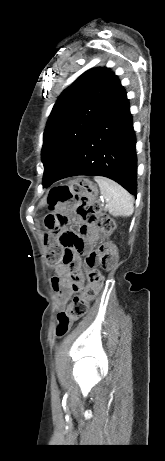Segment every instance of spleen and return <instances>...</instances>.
<instances>
[{"label":"spleen","instance_id":"3e777b00","mask_svg":"<svg viewBox=\"0 0 165 461\" xmlns=\"http://www.w3.org/2000/svg\"><path fill=\"white\" fill-rule=\"evenodd\" d=\"M94 180L98 183L101 194L106 200V210L113 216H131L133 197L122 186L111 179L96 176Z\"/></svg>","mask_w":165,"mask_h":461}]
</instances>
